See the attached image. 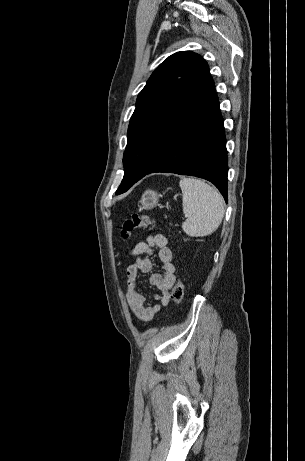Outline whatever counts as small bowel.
<instances>
[{
    "instance_id": "small-bowel-1",
    "label": "small bowel",
    "mask_w": 305,
    "mask_h": 461,
    "mask_svg": "<svg viewBox=\"0 0 305 461\" xmlns=\"http://www.w3.org/2000/svg\"><path fill=\"white\" fill-rule=\"evenodd\" d=\"M159 249L158 256L162 264L161 274H152L149 277L150 284L154 285L159 293L156 303H148L145 296L140 292L138 278L142 274H148L152 269L151 254ZM130 255L135 257L133 263L127 267V283L125 297L130 312L141 321H149L163 307L169 303V291L175 282V265L173 254L168 247V239L162 234L149 235L144 241L139 242L131 250Z\"/></svg>"
}]
</instances>
